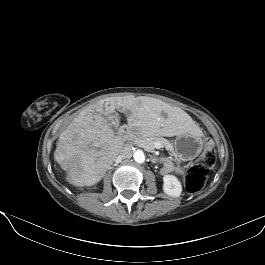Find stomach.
Here are the masks:
<instances>
[{"instance_id":"stomach-1","label":"stomach","mask_w":265,"mask_h":265,"mask_svg":"<svg viewBox=\"0 0 265 265\" xmlns=\"http://www.w3.org/2000/svg\"><path fill=\"white\" fill-rule=\"evenodd\" d=\"M202 148L201 138L191 133L177 135L174 140L176 155L185 161L195 159L200 154Z\"/></svg>"}]
</instances>
